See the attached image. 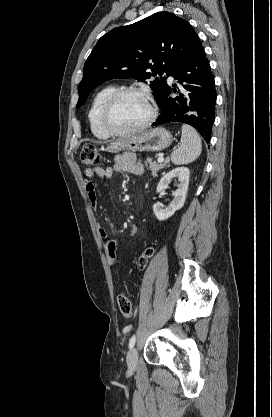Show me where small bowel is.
I'll list each match as a JSON object with an SVG mask.
<instances>
[{"label": "small bowel", "mask_w": 272, "mask_h": 417, "mask_svg": "<svg viewBox=\"0 0 272 417\" xmlns=\"http://www.w3.org/2000/svg\"><path fill=\"white\" fill-rule=\"evenodd\" d=\"M144 171L142 163L137 159L134 154L126 153L117 155L114 159V163L109 167H94L88 168L84 171L85 175V188L88 194V198L93 207H96L97 195L95 184L92 179L99 177L101 179H111L115 173H128L132 175H141ZM100 237L105 241V245L109 242L108 233L105 228L99 227L98 229ZM109 260V259H108ZM109 265L113 267V263L109 260ZM117 266V263H116Z\"/></svg>", "instance_id": "obj_1"}]
</instances>
